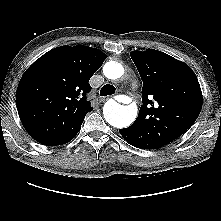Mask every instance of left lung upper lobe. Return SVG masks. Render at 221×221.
<instances>
[{
    "label": "left lung upper lobe",
    "instance_id": "1",
    "mask_svg": "<svg viewBox=\"0 0 221 221\" xmlns=\"http://www.w3.org/2000/svg\"><path fill=\"white\" fill-rule=\"evenodd\" d=\"M130 56L143 81V105L128 127L134 134L132 144L157 149L180 137L196 121L202 108L201 88L192 69L166 53L147 49Z\"/></svg>",
    "mask_w": 221,
    "mask_h": 221
}]
</instances>
